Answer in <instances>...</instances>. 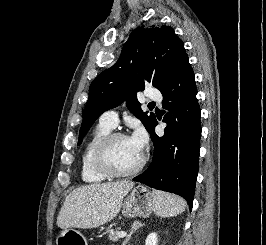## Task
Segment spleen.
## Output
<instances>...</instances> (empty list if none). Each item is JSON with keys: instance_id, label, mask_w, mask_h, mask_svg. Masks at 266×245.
<instances>
[{"instance_id": "3e777b00", "label": "spleen", "mask_w": 266, "mask_h": 245, "mask_svg": "<svg viewBox=\"0 0 266 245\" xmlns=\"http://www.w3.org/2000/svg\"><path fill=\"white\" fill-rule=\"evenodd\" d=\"M154 199V213L158 217H176L183 213L186 205L184 199L170 195V193H163V191H152Z\"/></svg>"}]
</instances>
